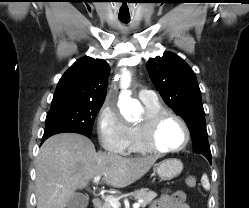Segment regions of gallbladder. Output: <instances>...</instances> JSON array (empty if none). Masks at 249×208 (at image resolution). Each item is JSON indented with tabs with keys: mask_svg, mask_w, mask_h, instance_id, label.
Segmentation results:
<instances>
[{
	"mask_svg": "<svg viewBox=\"0 0 249 208\" xmlns=\"http://www.w3.org/2000/svg\"><path fill=\"white\" fill-rule=\"evenodd\" d=\"M89 203V197L82 193L75 195L68 201L67 208H86Z\"/></svg>",
	"mask_w": 249,
	"mask_h": 208,
	"instance_id": "1",
	"label": "gallbladder"
}]
</instances>
